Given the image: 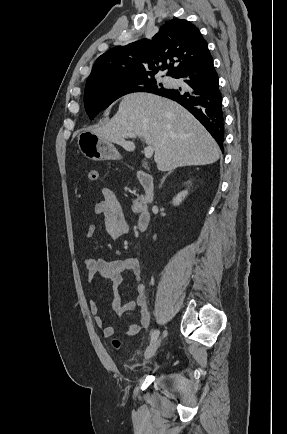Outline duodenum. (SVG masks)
<instances>
[{
  "label": "duodenum",
  "mask_w": 287,
  "mask_h": 434,
  "mask_svg": "<svg viewBox=\"0 0 287 434\" xmlns=\"http://www.w3.org/2000/svg\"><path fill=\"white\" fill-rule=\"evenodd\" d=\"M137 178L144 189V194L141 198V208L137 219L138 229L143 232L148 228L151 221L148 205L154 197V180L153 177L145 171H139Z\"/></svg>",
  "instance_id": "obj_1"
}]
</instances>
